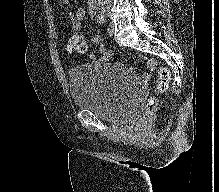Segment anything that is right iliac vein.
Segmentation results:
<instances>
[{
    "instance_id": "1",
    "label": "right iliac vein",
    "mask_w": 219,
    "mask_h": 192,
    "mask_svg": "<svg viewBox=\"0 0 219 192\" xmlns=\"http://www.w3.org/2000/svg\"><path fill=\"white\" fill-rule=\"evenodd\" d=\"M101 14L104 17H107L109 15V9L108 8H102Z\"/></svg>"
}]
</instances>
